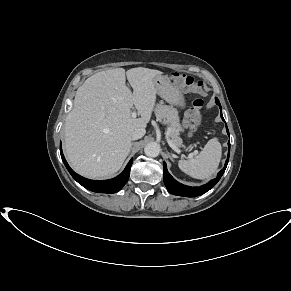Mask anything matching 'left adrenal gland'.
I'll return each instance as SVG.
<instances>
[{
	"instance_id": "1",
	"label": "left adrenal gland",
	"mask_w": 291,
	"mask_h": 291,
	"mask_svg": "<svg viewBox=\"0 0 291 291\" xmlns=\"http://www.w3.org/2000/svg\"><path fill=\"white\" fill-rule=\"evenodd\" d=\"M168 155H169V158L171 159V161L174 162V160H173L172 156L169 154V152H168Z\"/></svg>"
}]
</instances>
